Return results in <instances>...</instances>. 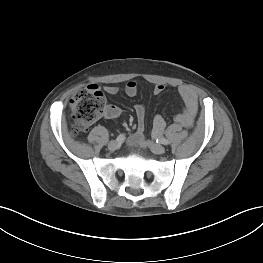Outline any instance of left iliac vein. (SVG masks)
<instances>
[{
    "mask_svg": "<svg viewBox=\"0 0 263 263\" xmlns=\"http://www.w3.org/2000/svg\"><path fill=\"white\" fill-rule=\"evenodd\" d=\"M149 147H150L151 151L154 154H163V153H165V148L162 145H160V144L149 143Z\"/></svg>",
    "mask_w": 263,
    "mask_h": 263,
    "instance_id": "left-iliac-vein-1",
    "label": "left iliac vein"
}]
</instances>
